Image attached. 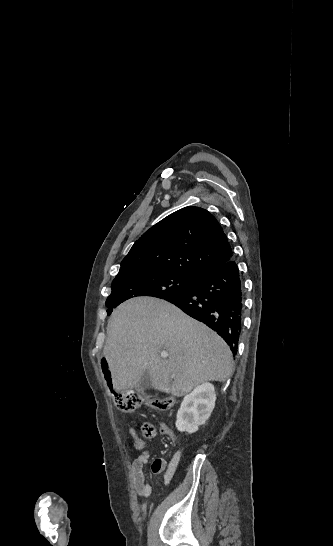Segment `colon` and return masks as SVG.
<instances>
[{"label": "colon", "mask_w": 333, "mask_h": 546, "mask_svg": "<svg viewBox=\"0 0 333 546\" xmlns=\"http://www.w3.org/2000/svg\"><path fill=\"white\" fill-rule=\"evenodd\" d=\"M103 378L107 379L105 384L107 385V390L111 391V395L114 396V402L116 406L122 411H134L140 405L146 404L150 408L158 411H165L170 409L174 404L173 397H164V398H147L142 395L133 392H121L118 393V390L115 389L113 381L109 379L111 374L109 373V367L106 363L101 365ZM141 431L145 438L151 439L156 436V428L150 422H143L141 425Z\"/></svg>", "instance_id": "obj_1"}]
</instances>
